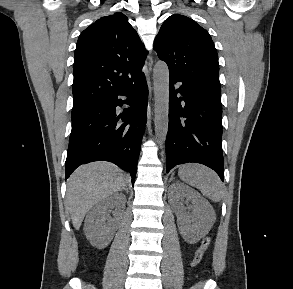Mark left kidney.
<instances>
[{
  "instance_id": "1",
  "label": "left kidney",
  "mask_w": 293,
  "mask_h": 289,
  "mask_svg": "<svg viewBox=\"0 0 293 289\" xmlns=\"http://www.w3.org/2000/svg\"><path fill=\"white\" fill-rule=\"evenodd\" d=\"M170 191L172 193L170 204L177 216L178 229L186 242L194 244L210 230L215 220V211L198 192L182 183L171 185ZM184 198L191 201L194 208L193 216L184 213L182 203Z\"/></svg>"
}]
</instances>
